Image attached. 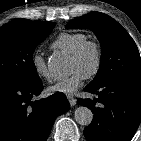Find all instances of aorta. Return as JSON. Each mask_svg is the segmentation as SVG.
Returning a JSON list of instances; mask_svg holds the SVG:
<instances>
[{
	"instance_id": "762f6f07",
	"label": "aorta",
	"mask_w": 141,
	"mask_h": 141,
	"mask_svg": "<svg viewBox=\"0 0 141 141\" xmlns=\"http://www.w3.org/2000/svg\"><path fill=\"white\" fill-rule=\"evenodd\" d=\"M47 65L50 73L54 77L62 78L68 74V61L62 56H51ZM74 118L78 124L88 126L92 122L93 113L89 108L80 106L76 108Z\"/></svg>"
}]
</instances>
